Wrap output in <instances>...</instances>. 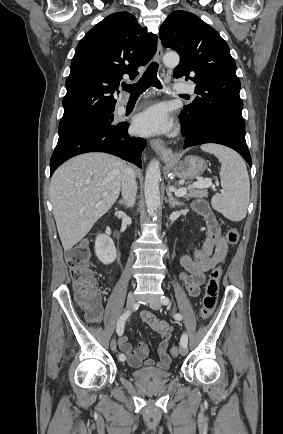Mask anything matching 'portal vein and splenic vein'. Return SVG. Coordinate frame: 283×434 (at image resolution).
Wrapping results in <instances>:
<instances>
[{"instance_id":"portal-vein-and-splenic-vein-1","label":"portal vein and splenic vein","mask_w":283,"mask_h":434,"mask_svg":"<svg viewBox=\"0 0 283 434\" xmlns=\"http://www.w3.org/2000/svg\"><path fill=\"white\" fill-rule=\"evenodd\" d=\"M193 186L195 187H199V188H208L213 186L212 182L210 179H205V180H200L197 181L193 184ZM187 193V189L186 188H180L178 190H175V195L178 197L184 196ZM106 195V194H104Z\"/></svg>"}]
</instances>
